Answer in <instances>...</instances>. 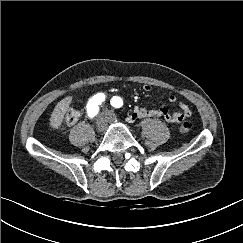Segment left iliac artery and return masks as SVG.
<instances>
[{
    "label": "left iliac artery",
    "instance_id": "obj_1",
    "mask_svg": "<svg viewBox=\"0 0 243 243\" xmlns=\"http://www.w3.org/2000/svg\"><path fill=\"white\" fill-rule=\"evenodd\" d=\"M111 105L114 108H120L123 105V101H122V99L120 97L115 96L111 100Z\"/></svg>",
    "mask_w": 243,
    "mask_h": 243
}]
</instances>
